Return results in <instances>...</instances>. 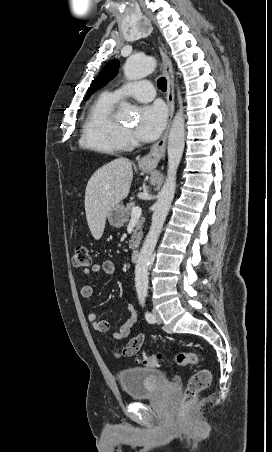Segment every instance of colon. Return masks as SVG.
I'll use <instances>...</instances> for the list:
<instances>
[{"label":"colon","instance_id":"5ec220e1","mask_svg":"<svg viewBox=\"0 0 272 452\" xmlns=\"http://www.w3.org/2000/svg\"><path fill=\"white\" fill-rule=\"evenodd\" d=\"M90 264L91 257L88 247L84 244L77 245L73 255V266L75 268H84ZM118 351L124 356H133L139 351V341H129L122 349H118ZM161 362L162 356L160 354H144L137 360L138 364L149 367L159 366ZM175 363L179 366L197 365L199 363V357L193 352H179L175 355ZM210 382L211 373L209 369L203 367L197 370L189 378L183 396V405L188 406L191 404L197 394L205 390Z\"/></svg>","mask_w":272,"mask_h":452}]
</instances>
